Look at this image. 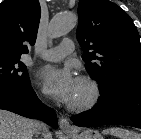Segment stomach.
<instances>
[{
    "mask_svg": "<svg viewBox=\"0 0 141 139\" xmlns=\"http://www.w3.org/2000/svg\"><path fill=\"white\" fill-rule=\"evenodd\" d=\"M71 139H103L102 135L93 129H86L80 133L70 134Z\"/></svg>",
    "mask_w": 141,
    "mask_h": 139,
    "instance_id": "0dacf381",
    "label": "stomach"
}]
</instances>
